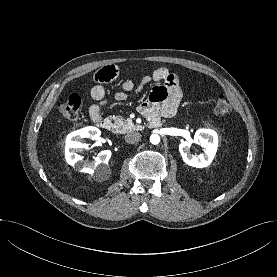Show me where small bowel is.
<instances>
[{"label":"small bowel","instance_id":"obj_1","mask_svg":"<svg viewBox=\"0 0 277 277\" xmlns=\"http://www.w3.org/2000/svg\"><path fill=\"white\" fill-rule=\"evenodd\" d=\"M119 70L115 66H105L94 75L95 85L90 91L94 100L89 108L90 118L95 121L102 116V108L108 102L104 84L117 79ZM156 82L159 85L153 87L148 99L139 106V112L145 117L157 115L160 117H172L176 114L182 99V92L178 78L166 68H158L151 75L144 76L138 84L132 80H121L122 91L114 94V99L123 101L129 94L139 93L147 84Z\"/></svg>","mask_w":277,"mask_h":277}]
</instances>
